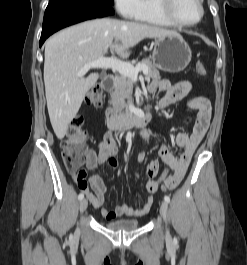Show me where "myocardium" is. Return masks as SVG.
Instances as JSON below:
<instances>
[{
    "mask_svg": "<svg viewBox=\"0 0 247 265\" xmlns=\"http://www.w3.org/2000/svg\"><path fill=\"white\" fill-rule=\"evenodd\" d=\"M200 8V16L194 22H183L181 21L174 12V4L176 0H158V7L161 13L174 25L177 27L187 28L198 25L204 18L205 8L203 5V0H196Z\"/></svg>",
    "mask_w": 247,
    "mask_h": 265,
    "instance_id": "1",
    "label": "myocardium"
}]
</instances>
